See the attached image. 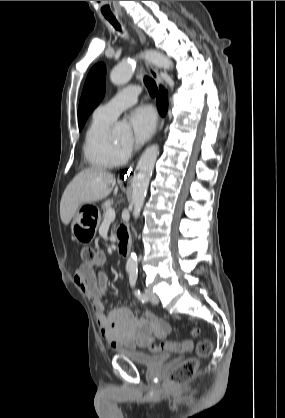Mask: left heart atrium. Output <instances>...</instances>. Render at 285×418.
<instances>
[{
  "label": "left heart atrium",
  "instance_id": "1",
  "mask_svg": "<svg viewBox=\"0 0 285 418\" xmlns=\"http://www.w3.org/2000/svg\"><path fill=\"white\" fill-rule=\"evenodd\" d=\"M128 123L133 130L135 141L141 144L146 142L155 131L157 116L151 107L140 106L129 113Z\"/></svg>",
  "mask_w": 285,
  "mask_h": 418
}]
</instances>
